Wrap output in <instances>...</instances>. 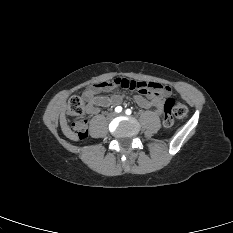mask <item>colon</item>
<instances>
[{"label": "colon", "mask_w": 233, "mask_h": 233, "mask_svg": "<svg viewBox=\"0 0 233 233\" xmlns=\"http://www.w3.org/2000/svg\"><path fill=\"white\" fill-rule=\"evenodd\" d=\"M106 87H118L120 89H129L136 92H146L155 90L156 86H146L140 81L128 79H115L107 82ZM67 113L74 118L73 123L69 129L71 137L76 139H85L88 135L86 121L82 118L85 113L84 100L79 96L70 98L67 105ZM187 115V107L173 98H168L164 103V120L166 127H171L174 124V119H183Z\"/></svg>", "instance_id": "1"}]
</instances>
